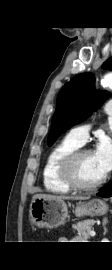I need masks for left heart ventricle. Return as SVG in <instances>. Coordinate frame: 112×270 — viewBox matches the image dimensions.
<instances>
[{
	"label": "left heart ventricle",
	"mask_w": 112,
	"mask_h": 270,
	"mask_svg": "<svg viewBox=\"0 0 112 270\" xmlns=\"http://www.w3.org/2000/svg\"><path fill=\"white\" fill-rule=\"evenodd\" d=\"M76 175L78 180L84 184L95 183L104 176L93 152L86 153L79 159L76 165Z\"/></svg>",
	"instance_id": "obj_1"
}]
</instances>
